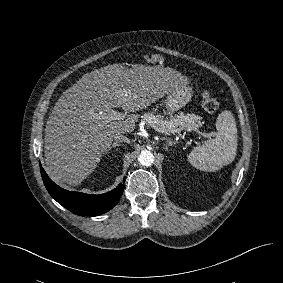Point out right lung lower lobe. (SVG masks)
<instances>
[{
    "label": "right lung lower lobe",
    "instance_id": "obj_1",
    "mask_svg": "<svg viewBox=\"0 0 283 283\" xmlns=\"http://www.w3.org/2000/svg\"><path fill=\"white\" fill-rule=\"evenodd\" d=\"M40 168L44 185L50 195L63 207L80 216H98L111 210L119 202L124 191V184L120 183L114 190L100 195L71 192L56 185L41 164Z\"/></svg>",
    "mask_w": 283,
    "mask_h": 283
}]
</instances>
